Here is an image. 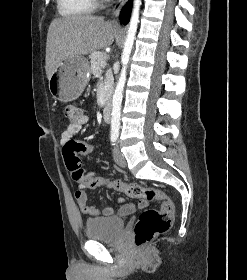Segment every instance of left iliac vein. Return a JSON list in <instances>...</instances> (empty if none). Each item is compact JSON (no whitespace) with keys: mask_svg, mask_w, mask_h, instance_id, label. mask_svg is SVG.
Returning a JSON list of instances; mask_svg holds the SVG:
<instances>
[{"mask_svg":"<svg viewBox=\"0 0 247 280\" xmlns=\"http://www.w3.org/2000/svg\"><path fill=\"white\" fill-rule=\"evenodd\" d=\"M113 155H114V159H115L116 163H117L120 167H126L127 162H126V159H125L124 155H123L122 152L120 151L119 146H116V147L114 148Z\"/></svg>","mask_w":247,"mask_h":280,"instance_id":"4c4485c4","label":"left iliac vein"}]
</instances>
